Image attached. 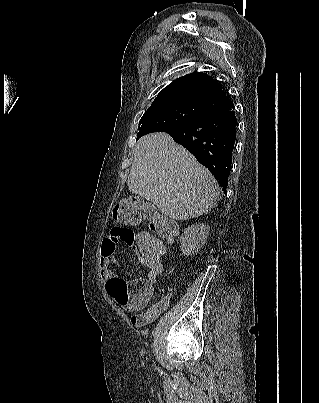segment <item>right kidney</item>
<instances>
[{
  "label": "right kidney",
  "mask_w": 319,
  "mask_h": 403,
  "mask_svg": "<svg viewBox=\"0 0 319 403\" xmlns=\"http://www.w3.org/2000/svg\"><path fill=\"white\" fill-rule=\"evenodd\" d=\"M210 227L206 224H196L184 229L180 237V249L186 256L198 252L206 243Z\"/></svg>",
  "instance_id": "1"
}]
</instances>
